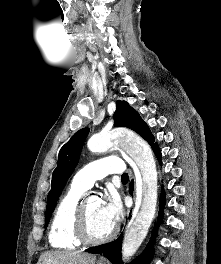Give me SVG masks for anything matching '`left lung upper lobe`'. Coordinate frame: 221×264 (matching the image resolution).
I'll list each match as a JSON object with an SVG mask.
<instances>
[{
	"label": "left lung upper lobe",
	"mask_w": 221,
	"mask_h": 264,
	"mask_svg": "<svg viewBox=\"0 0 221 264\" xmlns=\"http://www.w3.org/2000/svg\"><path fill=\"white\" fill-rule=\"evenodd\" d=\"M114 126L127 127L134 130L142 136L152 148L157 144L154 143V136L148 125L142 120L138 112L126 101L118 100L116 103ZM88 133L89 128L80 129L59 151L58 164L53 172L51 190L47 197L48 203L46 207L45 227L48 225L50 216L56 207L57 200L62 190L79 161L82 146Z\"/></svg>",
	"instance_id": "left-lung-upper-lobe-1"
}]
</instances>
